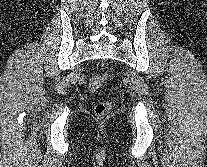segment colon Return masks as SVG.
Returning <instances> with one entry per match:
<instances>
[{"instance_id": "obj_1", "label": "colon", "mask_w": 207, "mask_h": 167, "mask_svg": "<svg viewBox=\"0 0 207 167\" xmlns=\"http://www.w3.org/2000/svg\"><path fill=\"white\" fill-rule=\"evenodd\" d=\"M109 77L108 73H104L102 75L94 76L90 79L88 83L89 90L91 92L98 91L103 84L107 81ZM111 103L109 101H101L95 105L94 112L97 116L103 117L107 115L111 110Z\"/></svg>"}]
</instances>
